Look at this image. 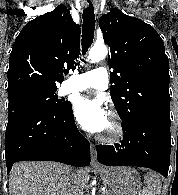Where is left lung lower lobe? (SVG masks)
Returning a JSON list of instances; mask_svg holds the SVG:
<instances>
[{
  "label": "left lung lower lobe",
  "instance_id": "1",
  "mask_svg": "<svg viewBox=\"0 0 178 195\" xmlns=\"http://www.w3.org/2000/svg\"><path fill=\"white\" fill-rule=\"evenodd\" d=\"M170 124L142 118L123 125L121 144L96 147L98 161L108 166L147 167L167 177L171 152Z\"/></svg>",
  "mask_w": 178,
  "mask_h": 195
}]
</instances>
